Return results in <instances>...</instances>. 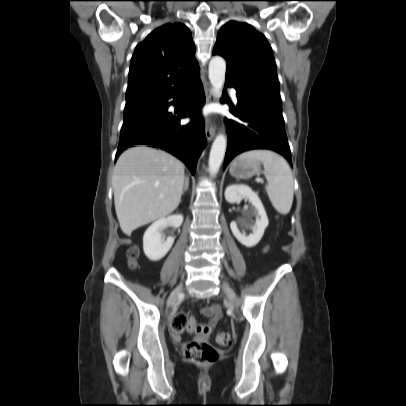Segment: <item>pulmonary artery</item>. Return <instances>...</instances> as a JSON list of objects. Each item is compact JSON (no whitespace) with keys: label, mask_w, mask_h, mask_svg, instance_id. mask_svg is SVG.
<instances>
[{"label":"pulmonary artery","mask_w":406,"mask_h":406,"mask_svg":"<svg viewBox=\"0 0 406 406\" xmlns=\"http://www.w3.org/2000/svg\"><path fill=\"white\" fill-rule=\"evenodd\" d=\"M230 93H231V96H232L233 101H234L235 103H237V97H236V92H235V90H234V89H231V90H230Z\"/></svg>","instance_id":"e3ab8cb5"}]
</instances>
